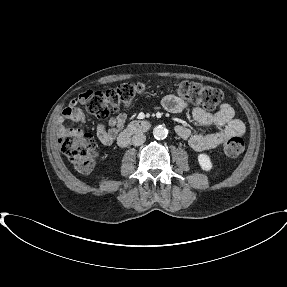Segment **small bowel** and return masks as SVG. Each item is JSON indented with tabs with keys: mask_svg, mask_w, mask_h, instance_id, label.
<instances>
[{
	"mask_svg": "<svg viewBox=\"0 0 287 287\" xmlns=\"http://www.w3.org/2000/svg\"><path fill=\"white\" fill-rule=\"evenodd\" d=\"M89 95L86 92L73 98L69 105L64 108L62 114L56 120L58 133L64 134L73 130L64 125L67 120L86 122V116L79 105L84 103ZM162 105L170 113H180L187 107L183 99L173 94L165 96ZM192 117L196 123L205 128V131L193 134L185 124H178L175 131L180 138L187 140L190 147L195 151L217 148L224 140L245 132L243 122L235 118L234 110L228 103L219 106L214 113L201 108H194ZM126 120L127 115L122 112L110 117L106 123H99L96 128V135L101 143L106 146L111 145L123 131Z\"/></svg>",
	"mask_w": 287,
	"mask_h": 287,
	"instance_id": "c3829d8e",
	"label": "small bowel"
}]
</instances>
